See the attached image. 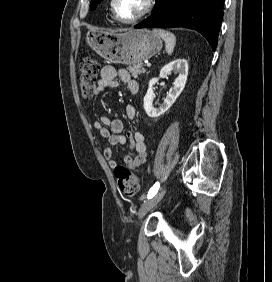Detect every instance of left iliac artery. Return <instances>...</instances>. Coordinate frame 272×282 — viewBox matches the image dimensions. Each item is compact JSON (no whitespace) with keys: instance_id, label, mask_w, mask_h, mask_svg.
<instances>
[{"instance_id":"left-iliac-artery-1","label":"left iliac artery","mask_w":272,"mask_h":282,"mask_svg":"<svg viewBox=\"0 0 272 282\" xmlns=\"http://www.w3.org/2000/svg\"><path fill=\"white\" fill-rule=\"evenodd\" d=\"M159 187H160L159 182H156V183L153 185V187L149 190L148 195H147V199H151L153 196H155L156 193H157L158 190H159Z\"/></svg>"}]
</instances>
